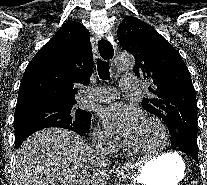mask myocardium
<instances>
[{
  "instance_id": "obj_1",
  "label": "myocardium",
  "mask_w": 207,
  "mask_h": 185,
  "mask_svg": "<svg viewBox=\"0 0 207 185\" xmlns=\"http://www.w3.org/2000/svg\"><path fill=\"white\" fill-rule=\"evenodd\" d=\"M145 121L154 123L161 131V134L164 138L165 143H167L169 141V132L168 129L166 127V125L163 123L162 120H160L157 117H145L144 118ZM123 147L126 150L127 153L134 155V156H138V157H154L157 156L159 154L158 150L155 151H138V150H134L130 147L127 138L125 137L123 139Z\"/></svg>"
}]
</instances>
